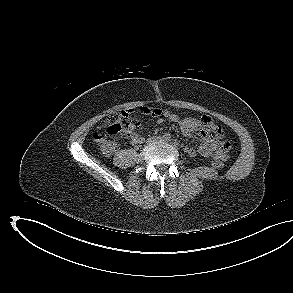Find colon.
Instances as JSON below:
<instances>
[{"instance_id":"1","label":"colon","mask_w":293,"mask_h":293,"mask_svg":"<svg viewBox=\"0 0 293 293\" xmlns=\"http://www.w3.org/2000/svg\"><path fill=\"white\" fill-rule=\"evenodd\" d=\"M139 127V122L131 117L126 112H119L108 117L104 131L96 132L94 137L101 141L107 137H112L118 134L124 136H131ZM212 165L217 169H222L224 163L220 159H215Z\"/></svg>"}]
</instances>
